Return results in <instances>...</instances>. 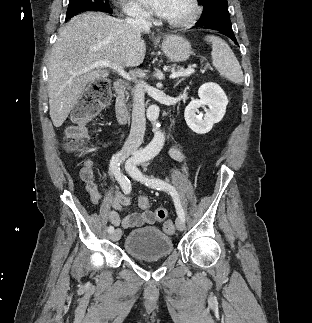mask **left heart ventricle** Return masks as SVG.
Masks as SVG:
<instances>
[{
	"label": "left heart ventricle",
	"instance_id": "b2bd125f",
	"mask_svg": "<svg viewBox=\"0 0 312 323\" xmlns=\"http://www.w3.org/2000/svg\"><path fill=\"white\" fill-rule=\"evenodd\" d=\"M167 8L172 9V18H179L180 14H192V3L189 0H169Z\"/></svg>",
	"mask_w": 312,
	"mask_h": 323
}]
</instances>
